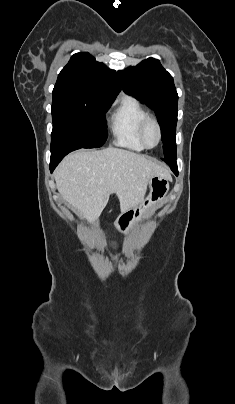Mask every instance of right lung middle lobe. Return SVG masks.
<instances>
[{
  "label": "right lung middle lobe",
  "mask_w": 235,
  "mask_h": 404,
  "mask_svg": "<svg viewBox=\"0 0 235 404\" xmlns=\"http://www.w3.org/2000/svg\"><path fill=\"white\" fill-rule=\"evenodd\" d=\"M111 102L53 92L51 150L101 147L107 139L105 112Z\"/></svg>",
  "instance_id": "dd1d6c3e"
}]
</instances>
